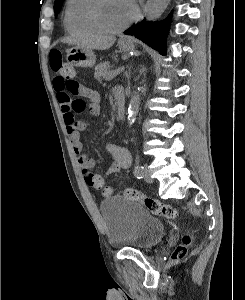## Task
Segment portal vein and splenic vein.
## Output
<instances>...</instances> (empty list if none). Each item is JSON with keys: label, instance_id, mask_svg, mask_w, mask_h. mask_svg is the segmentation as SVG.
<instances>
[{"label": "portal vein and splenic vein", "instance_id": "18ae733b", "mask_svg": "<svg viewBox=\"0 0 245 300\" xmlns=\"http://www.w3.org/2000/svg\"><path fill=\"white\" fill-rule=\"evenodd\" d=\"M123 70H124V68H118V69H116L114 71H111L109 73V79H112L113 77L119 75Z\"/></svg>", "mask_w": 245, "mask_h": 300}]
</instances>
